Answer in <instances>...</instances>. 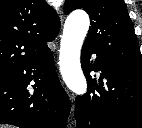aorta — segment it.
<instances>
[{
	"label": "aorta",
	"mask_w": 142,
	"mask_h": 128,
	"mask_svg": "<svg viewBox=\"0 0 142 128\" xmlns=\"http://www.w3.org/2000/svg\"><path fill=\"white\" fill-rule=\"evenodd\" d=\"M89 26L90 20L84 11L72 13L65 21L60 44L59 65L62 77L67 87L79 96L87 90L80 53Z\"/></svg>",
	"instance_id": "obj_1"
}]
</instances>
